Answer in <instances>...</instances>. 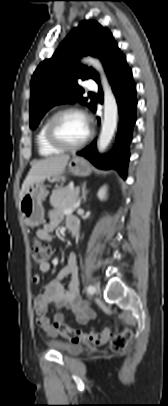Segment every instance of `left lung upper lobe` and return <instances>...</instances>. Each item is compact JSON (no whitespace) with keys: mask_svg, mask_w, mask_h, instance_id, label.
I'll list each match as a JSON object with an SVG mask.
<instances>
[{"mask_svg":"<svg viewBox=\"0 0 168 406\" xmlns=\"http://www.w3.org/2000/svg\"><path fill=\"white\" fill-rule=\"evenodd\" d=\"M120 52L111 32L96 21H82L58 47L54 55L37 67L31 79L30 127L35 129L46 112L55 105L79 102L91 110L94 102L82 96L84 90L79 79L92 78L99 82L98 74L78 62L84 55L98 57L105 70Z\"/></svg>","mask_w":168,"mask_h":406,"instance_id":"left-lung-upper-lobe-1","label":"left lung upper lobe"}]
</instances>
